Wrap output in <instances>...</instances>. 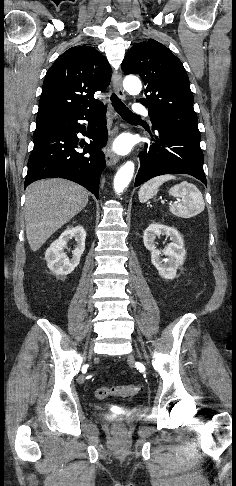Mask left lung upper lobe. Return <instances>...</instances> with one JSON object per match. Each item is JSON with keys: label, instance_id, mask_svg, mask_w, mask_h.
I'll return each mask as SVG.
<instances>
[{"label": "left lung upper lobe", "instance_id": "left-lung-upper-lobe-1", "mask_svg": "<svg viewBox=\"0 0 236 486\" xmlns=\"http://www.w3.org/2000/svg\"><path fill=\"white\" fill-rule=\"evenodd\" d=\"M122 70L142 77L146 98L139 102L148 107L153 129L162 125L199 132L189 78L167 47L153 39L134 44L122 62Z\"/></svg>", "mask_w": 236, "mask_h": 486}]
</instances>
